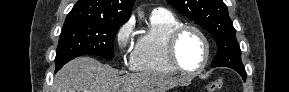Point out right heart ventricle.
Segmentation results:
<instances>
[{
	"instance_id": "e07e8e85",
	"label": "right heart ventricle",
	"mask_w": 289,
	"mask_h": 92,
	"mask_svg": "<svg viewBox=\"0 0 289 92\" xmlns=\"http://www.w3.org/2000/svg\"><path fill=\"white\" fill-rule=\"evenodd\" d=\"M181 24V21L168 11H153L149 29L140 36L132 53V68L160 75L176 74L177 71L168 60L166 45L170 33Z\"/></svg>"
}]
</instances>
